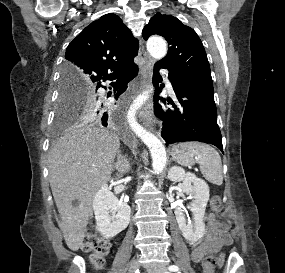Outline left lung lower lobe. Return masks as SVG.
<instances>
[{
  "label": "left lung lower lobe",
  "mask_w": 285,
  "mask_h": 273,
  "mask_svg": "<svg viewBox=\"0 0 285 273\" xmlns=\"http://www.w3.org/2000/svg\"><path fill=\"white\" fill-rule=\"evenodd\" d=\"M159 64L155 65L153 79L157 82L161 76L157 73ZM168 78L178 99V105L168 100L174 109L163 108L155 96L154 111L163 121L161 135L166 145L174 142L200 141L218 147L222 152V136L217 124V110L214 102L213 87L197 86L185 83L169 71ZM160 91H156L159 94Z\"/></svg>",
  "instance_id": "obj_1"
}]
</instances>
